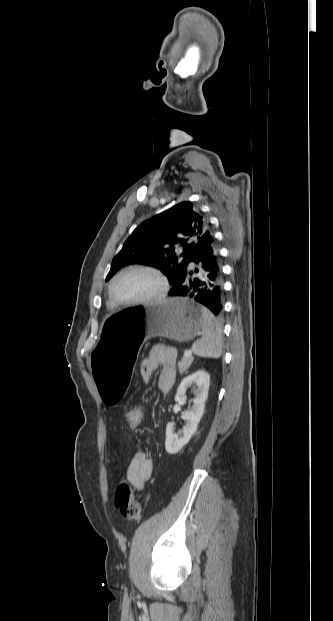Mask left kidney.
Instances as JSON below:
<instances>
[{"label":"left kidney","instance_id":"5707ae66","mask_svg":"<svg viewBox=\"0 0 333 621\" xmlns=\"http://www.w3.org/2000/svg\"><path fill=\"white\" fill-rule=\"evenodd\" d=\"M210 383V375L199 370L194 374L185 377L177 388L175 401L185 398L187 388L191 387L195 398L190 409L183 413V419L186 421L185 426L178 434L175 433L174 423L169 422L166 426L165 449L169 454L179 452L191 439L196 432L198 423L204 413L205 401L208 397Z\"/></svg>","mask_w":333,"mask_h":621}]
</instances>
